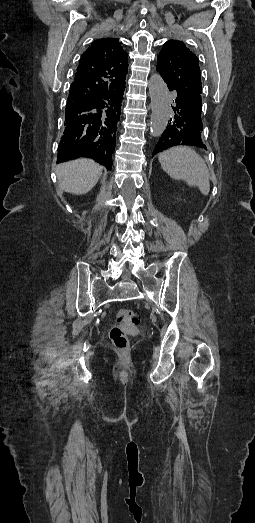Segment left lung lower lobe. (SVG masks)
<instances>
[{
	"mask_svg": "<svg viewBox=\"0 0 255 523\" xmlns=\"http://www.w3.org/2000/svg\"><path fill=\"white\" fill-rule=\"evenodd\" d=\"M168 93H171V87H168ZM173 104L172 109L175 114H169L167 122L169 126L162 129V137H159L156 147L151 149L153 154H161L168 147L190 148L193 144L201 150L207 149V144L202 140L203 124L199 120V115L194 114V107L191 104L181 100V94L172 90ZM196 140V141H193ZM150 154V157H153Z\"/></svg>",
	"mask_w": 255,
	"mask_h": 523,
	"instance_id": "1",
	"label": "left lung lower lobe"
}]
</instances>
